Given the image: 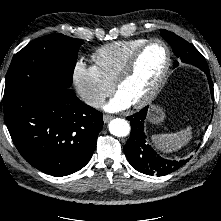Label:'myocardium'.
I'll return each instance as SVG.
<instances>
[{"label": "myocardium", "mask_w": 221, "mask_h": 221, "mask_svg": "<svg viewBox=\"0 0 221 221\" xmlns=\"http://www.w3.org/2000/svg\"><path fill=\"white\" fill-rule=\"evenodd\" d=\"M153 44H160L163 46L166 52V62H165L164 68L160 74L158 81L150 90V92L146 96H144L141 100L135 103H132V105L136 108H142L150 104L156 98V96L160 93L161 89L163 88L166 82V79L168 77L171 64H172V54H171V50L168 44L161 39H151V40H147L146 42H144L137 49H135L133 53L129 56L122 70L120 71V73L118 74L117 78L114 81V87L116 88L117 91H119L122 84L125 81H127L132 75L135 69L136 63L140 55L142 54V52Z\"/></svg>", "instance_id": "f54148a6"}]
</instances>
